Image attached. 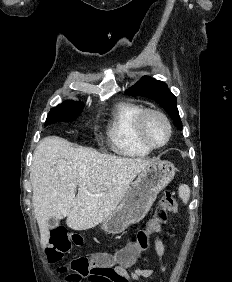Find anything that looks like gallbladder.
<instances>
[{
  "mask_svg": "<svg viewBox=\"0 0 232 282\" xmlns=\"http://www.w3.org/2000/svg\"><path fill=\"white\" fill-rule=\"evenodd\" d=\"M59 223H60L59 219L55 217H51L47 221V226L49 229H54L59 226Z\"/></svg>",
  "mask_w": 232,
  "mask_h": 282,
  "instance_id": "bac80fb5",
  "label": "gallbladder"
}]
</instances>
